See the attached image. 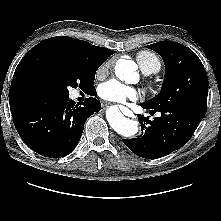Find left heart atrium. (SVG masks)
<instances>
[{"mask_svg":"<svg viewBox=\"0 0 221 221\" xmlns=\"http://www.w3.org/2000/svg\"><path fill=\"white\" fill-rule=\"evenodd\" d=\"M99 95L110 102L125 103L128 100H137L140 93L135 88L112 79L99 87Z\"/></svg>","mask_w":221,"mask_h":221,"instance_id":"1","label":"left heart atrium"}]
</instances>
